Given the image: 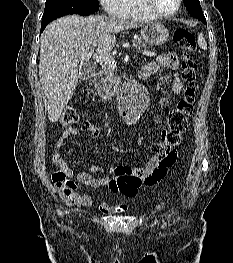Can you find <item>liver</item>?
I'll list each match as a JSON object with an SVG mask.
<instances>
[{
  "label": "liver",
  "instance_id": "1",
  "mask_svg": "<svg viewBox=\"0 0 233 263\" xmlns=\"http://www.w3.org/2000/svg\"><path fill=\"white\" fill-rule=\"evenodd\" d=\"M141 26L107 16L71 15L46 27L40 45L39 79L51 122L60 118L76 88L79 79L76 60L94 50L108 54L115 46L116 33Z\"/></svg>",
  "mask_w": 233,
  "mask_h": 263
}]
</instances>
